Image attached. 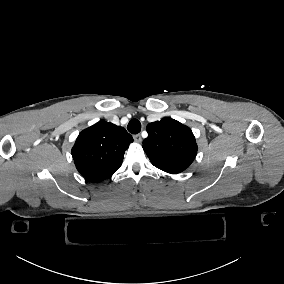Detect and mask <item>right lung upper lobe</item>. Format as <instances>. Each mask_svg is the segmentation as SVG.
<instances>
[{
    "label": "right lung upper lobe",
    "instance_id": "right-lung-upper-lobe-1",
    "mask_svg": "<svg viewBox=\"0 0 284 284\" xmlns=\"http://www.w3.org/2000/svg\"><path fill=\"white\" fill-rule=\"evenodd\" d=\"M131 142L123 127L102 120L80 132L72 148L75 166L89 181L108 179L120 168Z\"/></svg>",
    "mask_w": 284,
    "mask_h": 284
}]
</instances>
